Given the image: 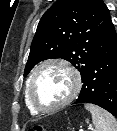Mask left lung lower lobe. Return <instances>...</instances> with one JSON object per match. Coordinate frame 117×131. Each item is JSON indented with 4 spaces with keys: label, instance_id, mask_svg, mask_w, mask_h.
<instances>
[{
    "label": "left lung lower lobe",
    "instance_id": "1",
    "mask_svg": "<svg viewBox=\"0 0 117 131\" xmlns=\"http://www.w3.org/2000/svg\"><path fill=\"white\" fill-rule=\"evenodd\" d=\"M82 83L80 95L73 104L92 103L117 118V35L113 24L106 46L88 67Z\"/></svg>",
    "mask_w": 117,
    "mask_h": 131
}]
</instances>
